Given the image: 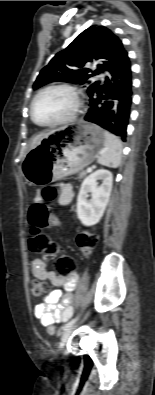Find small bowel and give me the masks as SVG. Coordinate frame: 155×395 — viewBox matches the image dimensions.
Segmentation results:
<instances>
[{
    "label": "small bowel",
    "mask_w": 155,
    "mask_h": 395,
    "mask_svg": "<svg viewBox=\"0 0 155 395\" xmlns=\"http://www.w3.org/2000/svg\"><path fill=\"white\" fill-rule=\"evenodd\" d=\"M72 198V190L69 186L62 187L60 202L67 204ZM52 223L59 224L56 218H52ZM70 258V257H69ZM33 275L40 279L49 281L58 288L49 292L34 308V315L40 320L41 324L48 328L49 333H55L54 324L65 322L72 315V308L69 304L72 301V291L75 288L78 275L74 274L58 275L57 272L50 270L44 259L36 257L31 262ZM62 301L61 304L59 302Z\"/></svg>",
    "instance_id": "small-bowel-1"
}]
</instances>
